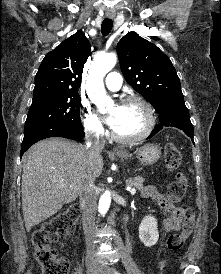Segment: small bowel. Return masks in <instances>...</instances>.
<instances>
[{"label":"small bowel","instance_id":"small-bowel-1","mask_svg":"<svg viewBox=\"0 0 221 274\" xmlns=\"http://www.w3.org/2000/svg\"><path fill=\"white\" fill-rule=\"evenodd\" d=\"M142 195L144 198L153 199L156 204L162 209L167 217L162 222V231L168 233L170 231H179L184 220L185 211L183 208L169 202L165 195L162 194L154 186H147L144 188Z\"/></svg>","mask_w":221,"mask_h":274}]
</instances>
